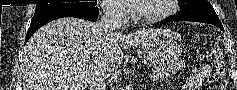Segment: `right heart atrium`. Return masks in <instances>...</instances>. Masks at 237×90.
<instances>
[{
    "mask_svg": "<svg viewBox=\"0 0 237 90\" xmlns=\"http://www.w3.org/2000/svg\"><path fill=\"white\" fill-rule=\"evenodd\" d=\"M101 6H105L107 14L115 20H123L126 17V9L116 2H100Z\"/></svg>",
    "mask_w": 237,
    "mask_h": 90,
    "instance_id": "obj_1",
    "label": "right heart atrium"
}]
</instances>
